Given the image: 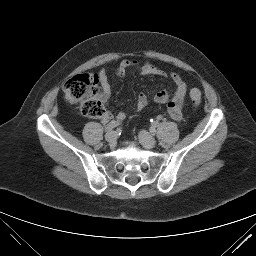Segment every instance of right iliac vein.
<instances>
[{"instance_id": "1", "label": "right iliac vein", "mask_w": 256, "mask_h": 256, "mask_svg": "<svg viewBox=\"0 0 256 256\" xmlns=\"http://www.w3.org/2000/svg\"><path fill=\"white\" fill-rule=\"evenodd\" d=\"M105 140L109 144H113L116 141V133L114 131H109L105 135Z\"/></svg>"}]
</instances>
